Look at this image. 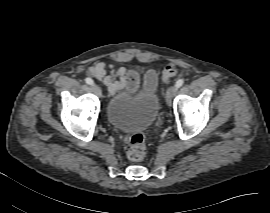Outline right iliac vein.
Wrapping results in <instances>:
<instances>
[{
    "instance_id": "63e3f726",
    "label": "right iliac vein",
    "mask_w": 270,
    "mask_h": 213,
    "mask_svg": "<svg viewBox=\"0 0 270 213\" xmlns=\"http://www.w3.org/2000/svg\"><path fill=\"white\" fill-rule=\"evenodd\" d=\"M92 89H93V92L96 93L97 95L101 94V90L98 85H93Z\"/></svg>"
}]
</instances>
